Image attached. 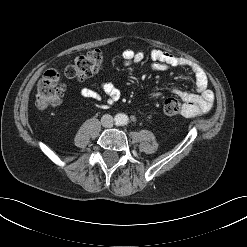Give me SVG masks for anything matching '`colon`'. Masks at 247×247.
<instances>
[{"mask_svg":"<svg viewBox=\"0 0 247 247\" xmlns=\"http://www.w3.org/2000/svg\"><path fill=\"white\" fill-rule=\"evenodd\" d=\"M104 55L100 50H92L75 58L73 64L65 69L69 78L85 79L96 74L102 67ZM65 86L61 82L57 70L47 71L37 85L36 105L39 109H47L61 104ZM182 104L176 98H168L163 104V113L174 116L182 111Z\"/></svg>","mask_w":247,"mask_h":247,"instance_id":"obj_1","label":"colon"}]
</instances>
